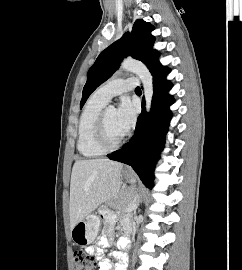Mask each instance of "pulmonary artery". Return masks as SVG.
I'll use <instances>...</instances> for the list:
<instances>
[{
	"mask_svg": "<svg viewBox=\"0 0 242 270\" xmlns=\"http://www.w3.org/2000/svg\"><path fill=\"white\" fill-rule=\"evenodd\" d=\"M137 87L136 78H117L112 79L99 87L93 94L97 99L109 102L114 96L120 95L126 91Z\"/></svg>",
	"mask_w": 242,
	"mask_h": 270,
	"instance_id": "obj_1",
	"label": "pulmonary artery"
}]
</instances>
